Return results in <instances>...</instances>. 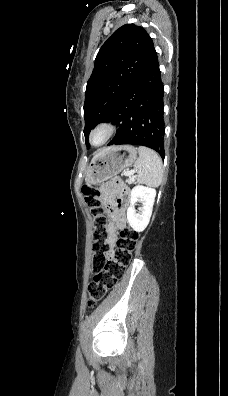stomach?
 <instances>
[{"label":"stomach","mask_w":228,"mask_h":396,"mask_svg":"<svg viewBox=\"0 0 228 396\" xmlns=\"http://www.w3.org/2000/svg\"><path fill=\"white\" fill-rule=\"evenodd\" d=\"M136 159L137 150L134 146L111 147L91 162L86 171V182L99 184L132 166Z\"/></svg>","instance_id":"1"}]
</instances>
